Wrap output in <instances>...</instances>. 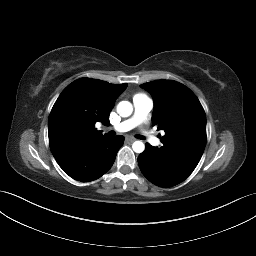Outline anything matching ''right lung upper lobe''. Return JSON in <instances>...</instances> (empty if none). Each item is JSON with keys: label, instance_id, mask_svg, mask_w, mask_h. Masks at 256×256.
<instances>
[{"label": "right lung upper lobe", "instance_id": "cb5924a9", "mask_svg": "<svg viewBox=\"0 0 256 256\" xmlns=\"http://www.w3.org/2000/svg\"><path fill=\"white\" fill-rule=\"evenodd\" d=\"M127 84L80 78L68 85L55 102L48 120L49 144L54 155L104 137L95 123L108 125L116 98Z\"/></svg>", "mask_w": 256, "mask_h": 256}]
</instances>
